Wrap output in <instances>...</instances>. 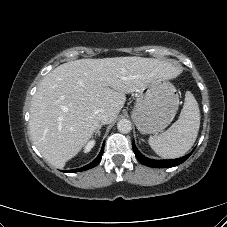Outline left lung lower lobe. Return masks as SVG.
Instances as JSON below:
<instances>
[{
    "mask_svg": "<svg viewBox=\"0 0 227 227\" xmlns=\"http://www.w3.org/2000/svg\"><path fill=\"white\" fill-rule=\"evenodd\" d=\"M133 151L137 157V159L144 165L148 166V167H154V168H170V167H174L176 165H179L181 163H183L190 155L191 153H189L186 156H183L181 158L178 159H171V160H153V159H149L147 157H145L144 155H142L138 149L136 148L134 141H133Z\"/></svg>",
    "mask_w": 227,
    "mask_h": 227,
    "instance_id": "left-lung-lower-lobe-1",
    "label": "left lung lower lobe"
}]
</instances>
